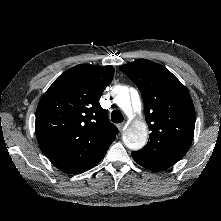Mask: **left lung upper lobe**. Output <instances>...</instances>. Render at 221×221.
<instances>
[{
	"instance_id": "1",
	"label": "left lung upper lobe",
	"mask_w": 221,
	"mask_h": 221,
	"mask_svg": "<svg viewBox=\"0 0 221 221\" xmlns=\"http://www.w3.org/2000/svg\"><path fill=\"white\" fill-rule=\"evenodd\" d=\"M139 88L150 127L139 157L172 166L187 153L194 135L195 109L187 89L165 67L139 59L120 66Z\"/></svg>"
}]
</instances>
